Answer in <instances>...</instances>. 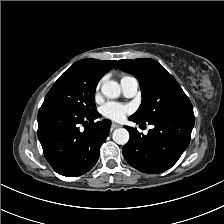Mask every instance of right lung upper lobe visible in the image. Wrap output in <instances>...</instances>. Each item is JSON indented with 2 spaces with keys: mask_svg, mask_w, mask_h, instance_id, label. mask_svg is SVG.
<instances>
[{
  "mask_svg": "<svg viewBox=\"0 0 224 224\" xmlns=\"http://www.w3.org/2000/svg\"><path fill=\"white\" fill-rule=\"evenodd\" d=\"M116 61H101L97 59H82L74 63L76 66H82L92 73L102 77L106 72L115 66Z\"/></svg>",
  "mask_w": 224,
  "mask_h": 224,
  "instance_id": "1",
  "label": "right lung upper lobe"
}]
</instances>
